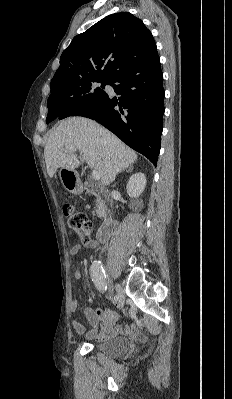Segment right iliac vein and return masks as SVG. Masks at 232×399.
Here are the masks:
<instances>
[{
	"mask_svg": "<svg viewBox=\"0 0 232 399\" xmlns=\"http://www.w3.org/2000/svg\"><path fill=\"white\" fill-rule=\"evenodd\" d=\"M115 288L117 290V294H118L119 299H120L118 309L122 310L123 306L126 304L125 296H124V293H123V287L119 286V285H115Z\"/></svg>",
	"mask_w": 232,
	"mask_h": 399,
	"instance_id": "1",
	"label": "right iliac vein"
}]
</instances>
